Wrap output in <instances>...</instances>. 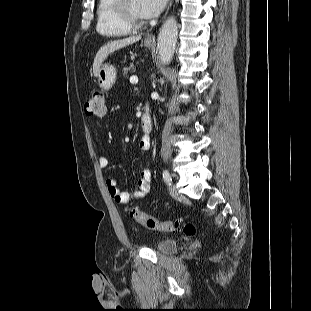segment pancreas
Returning <instances> with one entry per match:
<instances>
[{
	"label": "pancreas",
	"mask_w": 311,
	"mask_h": 311,
	"mask_svg": "<svg viewBox=\"0 0 311 311\" xmlns=\"http://www.w3.org/2000/svg\"><path fill=\"white\" fill-rule=\"evenodd\" d=\"M135 71V67L133 64H130L129 66H126L123 68V75H129V72H134Z\"/></svg>",
	"instance_id": "pancreas-1"
}]
</instances>
